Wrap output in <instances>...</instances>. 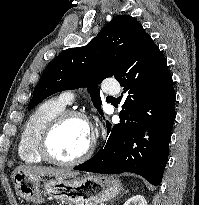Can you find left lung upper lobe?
I'll list each match as a JSON object with an SVG mask.
<instances>
[{"label":"left lung upper lobe","mask_w":199,"mask_h":205,"mask_svg":"<svg viewBox=\"0 0 199 205\" xmlns=\"http://www.w3.org/2000/svg\"><path fill=\"white\" fill-rule=\"evenodd\" d=\"M143 30L133 17L119 15L106 24L89 44L62 51L47 65L34 88L28 110L56 92L89 87L92 102L103 115L97 84L107 77H118L123 62Z\"/></svg>","instance_id":"left-lung-upper-lobe-1"}]
</instances>
